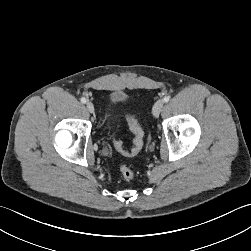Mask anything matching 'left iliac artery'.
<instances>
[{
  "label": "left iliac artery",
  "mask_w": 251,
  "mask_h": 251,
  "mask_svg": "<svg viewBox=\"0 0 251 251\" xmlns=\"http://www.w3.org/2000/svg\"><path fill=\"white\" fill-rule=\"evenodd\" d=\"M169 100H170V97H169V96H165L164 99H163V101H164L165 103H167Z\"/></svg>",
  "instance_id": "obj_1"
}]
</instances>
